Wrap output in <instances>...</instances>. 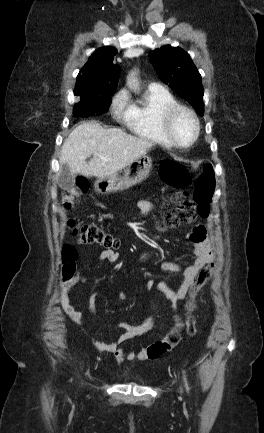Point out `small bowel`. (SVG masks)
I'll return each instance as SVG.
<instances>
[{"label": "small bowel", "instance_id": "c3829d8e", "mask_svg": "<svg viewBox=\"0 0 264 433\" xmlns=\"http://www.w3.org/2000/svg\"><path fill=\"white\" fill-rule=\"evenodd\" d=\"M153 207L154 205L150 201L144 200L139 202V208L144 214L150 212ZM188 239L193 244L194 259L192 264L183 267L172 262L162 263V268L164 270L182 273V281L177 290L171 289L165 282L162 281L155 282L152 279L146 280L147 289L151 291L156 287L159 291H161L165 297L171 301L174 312L177 310V303L184 299L188 294L198 272L208 262H210L212 258V252L204 226L196 225L193 227L188 234ZM118 259V253L112 249H104L99 255V260L101 262H115ZM85 281L86 279L84 276L81 274L76 275L66 282L60 294V303L63 310L79 327L84 326L86 319L83 313L72 304L69 292L73 287L80 283H84ZM119 300L125 301L126 296L124 294H120ZM90 303L93 308L94 295L90 297ZM155 324L156 318L154 316L148 317L142 323L137 325L121 322L115 326L118 331H121V335L116 341L110 343L93 341L92 343L98 350L113 354L116 361L119 363H122L125 360L138 362L145 360H155L160 358L166 352L172 350L182 339L184 323L176 314L174 316V327L164 338L142 348L138 352L126 351L120 347L121 344L130 339L149 333L155 327Z\"/></svg>", "mask_w": 264, "mask_h": 433}]
</instances>
